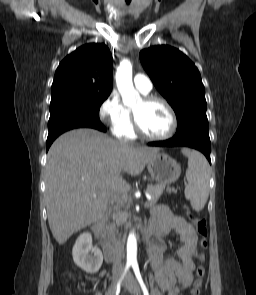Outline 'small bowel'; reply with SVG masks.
I'll use <instances>...</instances> for the list:
<instances>
[{
    "instance_id": "c3829d8e",
    "label": "small bowel",
    "mask_w": 256,
    "mask_h": 295,
    "mask_svg": "<svg viewBox=\"0 0 256 295\" xmlns=\"http://www.w3.org/2000/svg\"><path fill=\"white\" fill-rule=\"evenodd\" d=\"M171 230L178 234L182 245L177 249L178 260L167 258L163 261L162 255L167 248L166 237ZM149 231L152 240L146 256L157 286L167 295H182L190 284L197 250L193 227L169 207L161 205L154 209Z\"/></svg>"
}]
</instances>
